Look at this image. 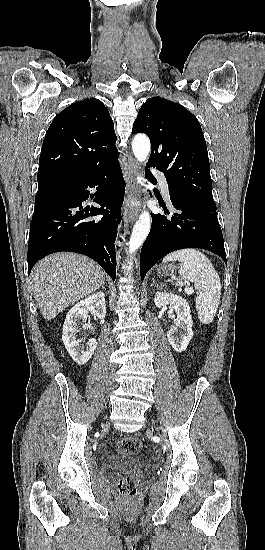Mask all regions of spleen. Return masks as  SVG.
I'll return each mask as SVG.
<instances>
[{
    "mask_svg": "<svg viewBox=\"0 0 265 550\" xmlns=\"http://www.w3.org/2000/svg\"><path fill=\"white\" fill-rule=\"evenodd\" d=\"M181 261L180 277L176 285L183 286L187 281L194 282L197 290L196 309L198 318L204 324L213 321L220 303L221 282L218 273L209 259L199 250L182 249L163 258L168 261Z\"/></svg>",
    "mask_w": 265,
    "mask_h": 550,
    "instance_id": "3e777b00",
    "label": "spleen"
}]
</instances>
